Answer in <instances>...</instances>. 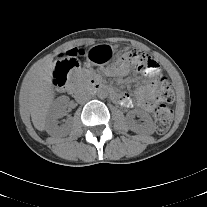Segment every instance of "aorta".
Wrapping results in <instances>:
<instances>
[{
  "instance_id": "obj_1",
  "label": "aorta",
  "mask_w": 207,
  "mask_h": 207,
  "mask_svg": "<svg viewBox=\"0 0 207 207\" xmlns=\"http://www.w3.org/2000/svg\"><path fill=\"white\" fill-rule=\"evenodd\" d=\"M97 96L99 99H105L108 96V92L105 89H99L97 92Z\"/></svg>"
}]
</instances>
